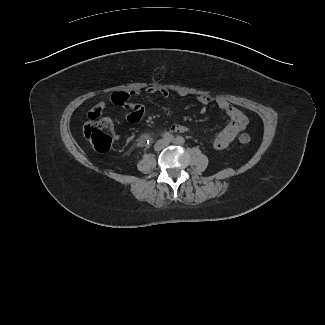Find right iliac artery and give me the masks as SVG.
Here are the masks:
<instances>
[{
  "instance_id": "obj_1",
  "label": "right iliac artery",
  "mask_w": 325,
  "mask_h": 325,
  "mask_svg": "<svg viewBox=\"0 0 325 325\" xmlns=\"http://www.w3.org/2000/svg\"><path fill=\"white\" fill-rule=\"evenodd\" d=\"M162 137H163V139H165L166 141H169V142L174 140V136L171 133H167V132L163 133Z\"/></svg>"
}]
</instances>
